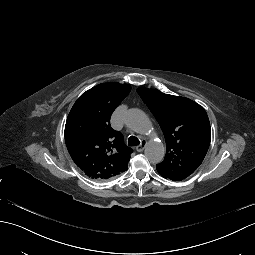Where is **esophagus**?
Listing matches in <instances>:
<instances>
[{
    "label": "esophagus",
    "mask_w": 255,
    "mask_h": 255,
    "mask_svg": "<svg viewBox=\"0 0 255 255\" xmlns=\"http://www.w3.org/2000/svg\"><path fill=\"white\" fill-rule=\"evenodd\" d=\"M146 141L142 140L141 144L136 147L137 152H142L145 148Z\"/></svg>",
    "instance_id": "34e87169"
}]
</instances>
